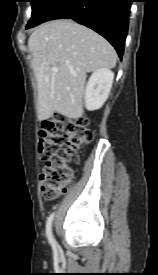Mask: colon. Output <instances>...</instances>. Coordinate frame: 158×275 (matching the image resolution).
<instances>
[{"label": "colon", "mask_w": 158, "mask_h": 275, "mask_svg": "<svg viewBox=\"0 0 158 275\" xmlns=\"http://www.w3.org/2000/svg\"><path fill=\"white\" fill-rule=\"evenodd\" d=\"M92 139L93 132L85 118L69 121L63 115H55L43 123L38 152L45 162L39 177L45 198L56 199L69 189L74 176L70 162Z\"/></svg>", "instance_id": "1"}]
</instances>
